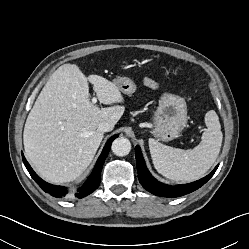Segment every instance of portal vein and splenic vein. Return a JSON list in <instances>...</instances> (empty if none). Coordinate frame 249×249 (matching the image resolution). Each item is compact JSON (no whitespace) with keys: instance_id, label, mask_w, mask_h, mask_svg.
I'll list each match as a JSON object with an SVG mask.
<instances>
[{"instance_id":"18ae733b","label":"portal vein and splenic vein","mask_w":249,"mask_h":249,"mask_svg":"<svg viewBox=\"0 0 249 249\" xmlns=\"http://www.w3.org/2000/svg\"><path fill=\"white\" fill-rule=\"evenodd\" d=\"M96 102H97V98L94 97V98L92 99V104H95Z\"/></svg>"}]
</instances>
